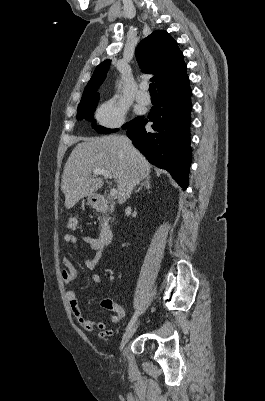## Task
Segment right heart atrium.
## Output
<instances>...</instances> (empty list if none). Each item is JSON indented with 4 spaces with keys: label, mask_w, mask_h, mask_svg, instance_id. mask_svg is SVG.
Returning <instances> with one entry per match:
<instances>
[{
    "label": "right heart atrium",
    "mask_w": 265,
    "mask_h": 401,
    "mask_svg": "<svg viewBox=\"0 0 265 401\" xmlns=\"http://www.w3.org/2000/svg\"><path fill=\"white\" fill-rule=\"evenodd\" d=\"M96 118L104 126L121 127L126 121V107L117 97L109 98L98 106Z\"/></svg>",
    "instance_id": "obj_1"
}]
</instances>
